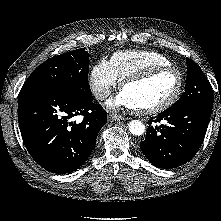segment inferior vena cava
Here are the masks:
<instances>
[{
  "label": "inferior vena cava",
  "instance_id": "602c4592",
  "mask_svg": "<svg viewBox=\"0 0 221 221\" xmlns=\"http://www.w3.org/2000/svg\"><path fill=\"white\" fill-rule=\"evenodd\" d=\"M108 95H109V90L103 89V90H101L100 92L97 93L96 97L98 99L103 100V99L107 98Z\"/></svg>",
  "mask_w": 221,
  "mask_h": 221
}]
</instances>
